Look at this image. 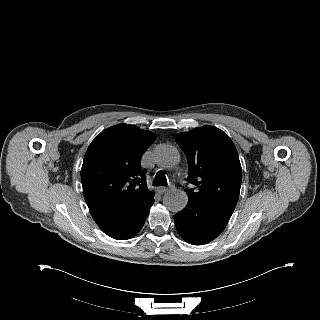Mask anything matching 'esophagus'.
Wrapping results in <instances>:
<instances>
[{"mask_svg": "<svg viewBox=\"0 0 320 320\" xmlns=\"http://www.w3.org/2000/svg\"><path fill=\"white\" fill-rule=\"evenodd\" d=\"M159 189L161 192L165 193L168 192L171 189V187H160Z\"/></svg>", "mask_w": 320, "mask_h": 320, "instance_id": "34e87169", "label": "esophagus"}]
</instances>
